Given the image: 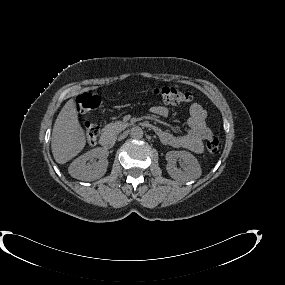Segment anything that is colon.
I'll list each match as a JSON object with an SVG mask.
<instances>
[{
  "instance_id": "5ec220e1",
  "label": "colon",
  "mask_w": 285,
  "mask_h": 285,
  "mask_svg": "<svg viewBox=\"0 0 285 285\" xmlns=\"http://www.w3.org/2000/svg\"><path fill=\"white\" fill-rule=\"evenodd\" d=\"M153 94L160 96L166 103L183 105L188 104L193 100V95L190 92L181 91L173 86H164L155 88ZM100 104V99L96 95L89 93L81 94L77 97L78 110L81 114H85L93 109H96ZM88 142L95 144L99 134V126L94 121L84 122ZM207 150L210 153H216L220 147V140L216 137L209 138L206 142Z\"/></svg>"
}]
</instances>
